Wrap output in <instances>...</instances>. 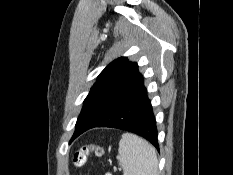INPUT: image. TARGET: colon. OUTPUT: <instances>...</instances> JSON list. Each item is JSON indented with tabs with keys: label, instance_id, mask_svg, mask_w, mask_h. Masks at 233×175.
Instances as JSON below:
<instances>
[{
	"label": "colon",
	"instance_id": "colon-1",
	"mask_svg": "<svg viewBox=\"0 0 233 175\" xmlns=\"http://www.w3.org/2000/svg\"><path fill=\"white\" fill-rule=\"evenodd\" d=\"M90 154H95L97 156H102L104 154V149L101 145L96 143H89L79 147L73 154V162L76 166H82L86 163ZM106 175H112L107 173Z\"/></svg>",
	"mask_w": 233,
	"mask_h": 175
}]
</instances>
